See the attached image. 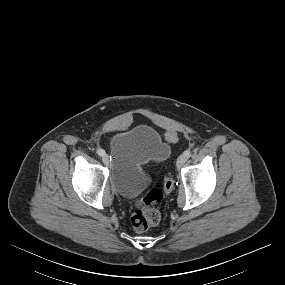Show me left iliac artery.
I'll use <instances>...</instances> for the list:
<instances>
[{
	"label": "left iliac artery",
	"mask_w": 285,
	"mask_h": 285,
	"mask_svg": "<svg viewBox=\"0 0 285 285\" xmlns=\"http://www.w3.org/2000/svg\"><path fill=\"white\" fill-rule=\"evenodd\" d=\"M183 155L186 157V158H189L191 156V151L190 150H185Z\"/></svg>",
	"instance_id": "44dca946"
}]
</instances>
